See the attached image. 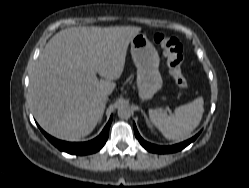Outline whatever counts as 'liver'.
Instances as JSON below:
<instances>
[{
	"label": "liver",
	"mask_w": 249,
	"mask_h": 188,
	"mask_svg": "<svg viewBox=\"0 0 249 188\" xmlns=\"http://www.w3.org/2000/svg\"><path fill=\"white\" fill-rule=\"evenodd\" d=\"M140 27H71L47 43L31 77V106L50 135L77 141L100 120L113 80L124 69L128 45ZM104 79L98 80L96 74Z\"/></svg>",
	"instance_id": "obj_1"
}]
</instances>
